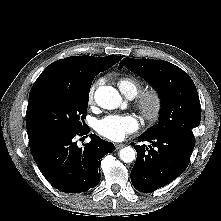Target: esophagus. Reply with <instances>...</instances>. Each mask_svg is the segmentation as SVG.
<instances>
[{
	"label": "esophagus",
	"mask_w": 221,
	"mask_h": 221,
	"mask_svg": "<svg viewBox=\"0 0 221 221\" xmlns=\"http://www.w3.org/2000/svg\"><path fill=\"white\" fill-rule=\"evenodd\" d=\"M122 147H124V144H122V143H116L115 144L116 150L121 149Z\"/></svg>",
	"instance_id": "esophagus-1"
}]
</instances>
